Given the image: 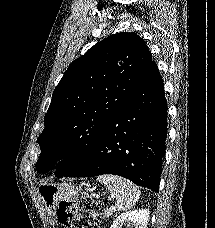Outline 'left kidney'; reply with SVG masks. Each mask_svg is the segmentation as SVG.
Wrapping results in <instances>:
<instances>
[{"instance_id": "left-kidney-1", "label": "left kidney", "mask_w": 215, "mask_h": 228, "mask_svg": "<svg viewBox=\"0 0 215 228\" xmlns=\"http://www.w3.org/2000/svg\"><path fill=\"white\" fill-rule=\"evenodd\" d=\"M149 214V210H132V212H125V214L117 216L111 228H124V226H131V228H147Z\"/></svg>"}]
</instances>
